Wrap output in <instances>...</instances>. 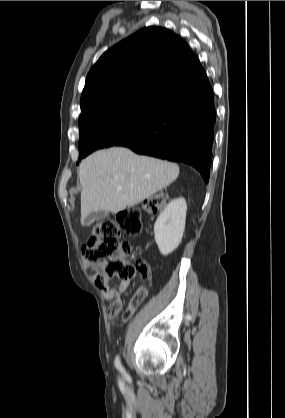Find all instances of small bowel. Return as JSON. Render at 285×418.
Returning <instances> with one entry per match:
<instances>
[{"instance_id": "obj_1", "label": "small bowel", "mask_w": 285, "mask_h": 418, "mask_svg": "<svg viewBox=\"0 0 285 418\" xmlns=\"http://www.w3.org/2000/svg\"><path fill=\"white\" fill-rule=\"evenodd\" d=\"M137 265L141 273L142 283H146L149 286L152 283V274L150 271V266L145 260H138ZM88 268L96 275L101 268L99 264H90ZM127 286V280H123L118 289L109 287L104 290V295L107 299L111 301L110 308L107 311L108 319H114L123 311V291ZM141 304L137 303L133 299L130 301L128 308L123 312V320H128L136 310V308Z\"/></svg>"}]
</instances>
